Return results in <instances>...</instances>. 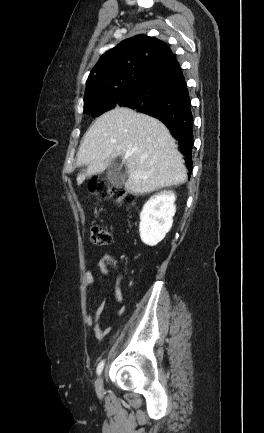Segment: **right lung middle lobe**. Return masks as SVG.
I'll use <instances>...</instances> for the list:
<instances>
[{
	"label": "right lung middle lobe",
	"mask_w": 264,
	"mask_h": 433,
	"mask_svg": "<svg viewBox=\"0 0 264 433\" xmlns=\"http://www.w3.org/2000/svg\"><path fill=\"white\" fill-rule=\"evenodd\" d=\"M140 88L141 84L133 85L113 91L101 97L84 99V113L96 117L114 107L124 106L125 103L130 101L138 93Z\"/></svg>",
	"instance_id": "dd1d6c3e"
}]
</instances>
